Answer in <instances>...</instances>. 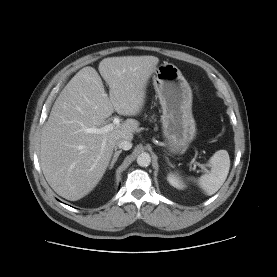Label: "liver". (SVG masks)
<instances>
[{"mask_svg":"<svg viewBox=\"0 0 277 277\" xmlns=\"http://www.w3.org/2000/svg\"><path fill=\"white\" fill-rule=\"evenodd\" d=\"M158 63L155 56L104 58L98 70L109 85V95L90 66L82 68L61 91L40 144L41 169L59 196L70 201L86 196L103 177L116 143L133 139L139 122L131 118L105 133H87L86 129L103 128L114 111L138 114Z\"/></svg>","mask_w":277,"mask_h":277,"instance_id":"6515ba94","label":"liver"}]
</instances>
